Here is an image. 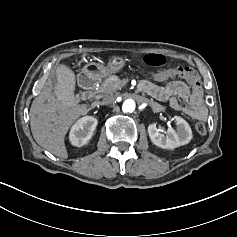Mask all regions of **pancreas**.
Listing matches in <instances>:
<instances>
[{"instance_id":"1","label":"pancreas","mask_w":237,"mask_h":237,"mask_svg":"<svg viewBox=\"0 0 237 237\" xmlns=\"http://www.w3.org/2000/svg\"><path fill=\"white\" fill-rule=\"evenodd\" d=\"M123 81L116 75H109L100 85L99 92L105 95L113 94L115 91L121 88Z\"/></svg>"}]
</instances>
